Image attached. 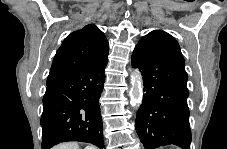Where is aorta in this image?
Instances as JSON below:
<instances>
[{
  "label": "aorta",
  "mask_w": 227,
  "mask_h": 149,
  "mask_svg": "<svg viewBox=\"0 0 227 149\" xmlns=\"http://www.w3.org/2000/svg\"><path fill=\"white\" fill-rule=\"evenodd\" d=\"M130 96L132 105L138 108L142 102L143 98V80L138 72H133L131 74V89Z\"/></svg>",
  "instance_id": "1"
}]
</instances>
